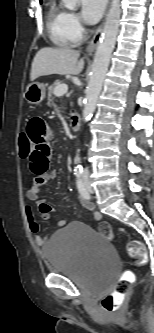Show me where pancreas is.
I'll list each match as a JSON object with an SVG mask.
<instances>
[{
  "instance_id": "pancreas-1",
  "label": "pancreas",
  "mask_w": 154,
  "mask_h": 333,
  "mask_svg": "<svg viewBox=\"0 0 154 333\" xmlns=\"http://www.w3.org/2000/svg\"><path fill=\"white\" fill-rule=\"evenodd\" d=\"M62 84V82L60 80H57L54 82V84L52 86H50L48 88V106L51 107L52 106V102L54 100V87H56L57 85Z\"/></svg>"
}]
</instances>
